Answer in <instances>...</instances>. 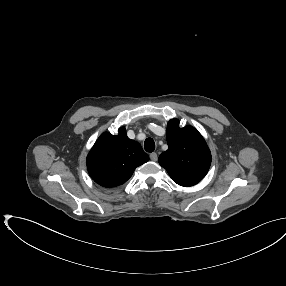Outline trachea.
I'll use <instances>...</instances> for the list:
<instances>
[{
	"instance_id": "trachea-1",
	"label": "trachea",
	"mask_w": 286,
	"mask_h": 286,
	"mask_svg": "<svg viewBox=\"0 0 286 286\" xmlns=\"http://www.w3.org/2000/svg\"><path fill=\"white\" fill-rule=\"evenodd\" d=\"M144 148L146 152H153L155 150V142L152 138H147L144 142Z\"/></svg>"
}]
</instances>
